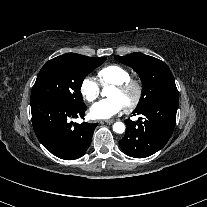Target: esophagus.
I'll return each mask as SVG.
<instances>
[{
    "instance_id": "esophagus-1",
    "label": "esophagus",
    "mask_w": 207,
    "mask_h": 207,
    "mask_svg": "<svg viewBox=\"0 0 207 207\" xmlns=\"http://www.w3.org/2000/svg\"><path fill=\"white\" fill-rule=\"evenodd\" d=\"M100 122H101V123L112 124V123L115 122V120H114V119H104V120H102V121H100Z\"/></svg>"
}]
</instances>
